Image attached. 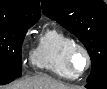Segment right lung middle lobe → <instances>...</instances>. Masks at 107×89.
<instances>
[{
	"instance_id": "1",
	"label": "right lung middle lobe",
	"mask_w": 107,
	"mask_h": 89,
	"mask_svg": "<svg viewBox=\"0 0 107 89\" xmlns=\"http://www.w3.org/2000/svg\"><path fill=\"white\" fill-rule=\"evenodd\" d=\"M31 26L0 21V84H7L21 76V46Z\"/></svg>"
}]
</instances>
